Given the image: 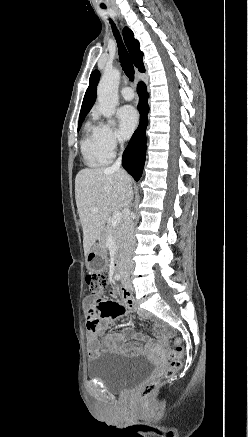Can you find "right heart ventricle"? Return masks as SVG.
Returning a JSON list of instances; mask_svg holds the SVG:
<instances>
[{
	"label": "right heart ventricle",
	"mask_w": 248,
	"mask_h": 437,
	"mask_svg": "<svg viewBox=\"0 0 248 437\" xmlns=\"http://www.w3.org/2000/svg\"><path fill=\"white\" fill-rule=\"evenodd\" d=\"M80 147L84 161L90 167L105 166L111 159L101 146L98 127L91 122L84 126Z\"/></svg>",
	"instance_id": "1"
}]
</instances>
